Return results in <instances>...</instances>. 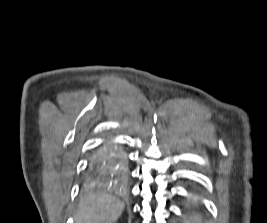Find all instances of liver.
<instances>
[{
    "mask_svg": "<svg viewBox=\"0 0 267 223\" xmlns=\"http://www.w3.org/2000/svg\"><path fill=\"white\" fill-rule=\"evenodd\" d=\"M125 204L110 194L96 192L85 195L75 214L76 223H114Z\"/></svg>",
    "mask_w": 267,
    "mask_h": 223,
    "instance_id": "obj_1",
    "label": "liver"
}]
</instances>
